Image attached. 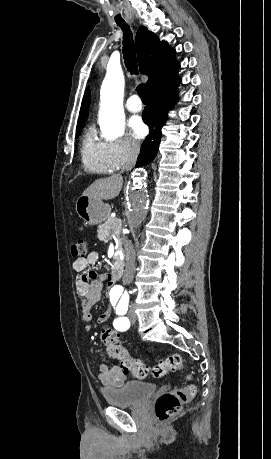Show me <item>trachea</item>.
Masks as SVG:
<instances>
[{"label": "trachea", "mask_w": 271, "mask_h": 459, "mask_svg": "<svg viewBox=\"0 0 271 459\" xmlns=\"http://www.w3.org/2000/svg\"><path fill=\"white\" fill-rule=\"evenodd\" d=\"M123 31V56L127 70L131 74H138V65L136 58L135 45L133 41V34L129 25H119ZM136 91L141 97L142 102H148L147 90L144 83L137 86Z\"/></svg>", "instance_id": "obj_1"}]
</instances>
